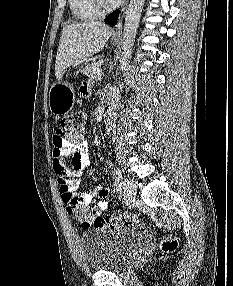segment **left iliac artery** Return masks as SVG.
I'll use <instances>...</instances> for the list:
<instances>
[{"label": "left iliac artery", "instance_id": "obj_1", "mask_svg": "<svg viewBox=\"0 0 233 286\" xmlns=\"http://www.w3.org/2000/svg\"><path fill=\"white\" fill-rule=\"evenodd\" d=\"M115 174H116V186H117V190L121 191V180H122V175L119 169L115 170Z\"/></svg>", "mask_w": 233, "mask_h": 286}]
</instances>
